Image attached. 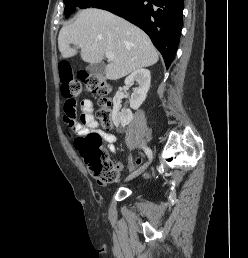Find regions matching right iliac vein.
Returning a JSON list of instances; mask_svg holds the SVG:
<instances>
[{
	"instance_id": "1",
	"label": "right iliac vein",
	"mask_w": 248,
	"mask_h": 258,
	"mask_svg": "<svg viewBox=\"0 0 248 258\" xmlns=\"http://www.w3.org/2000/svg\"><path fill=\"white\" fill-rule=\"evenodd\" d=\"M151 163V161L150 162H148L146 165H144L143 167H141L140 169H138V170H136L135 172H133L132 174H130L126 179H125V181H130V180H132L133 178H135V177H137L138 175H140L142 172H144L146 169H147V167L149 166V164Z\"/></svg>"
}]
</instances>
